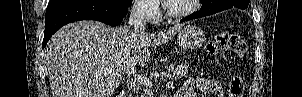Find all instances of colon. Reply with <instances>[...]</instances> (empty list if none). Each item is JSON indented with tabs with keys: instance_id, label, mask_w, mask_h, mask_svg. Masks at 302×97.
I'll return each instance as SVG.
<instances>
[{
	"instance_id": "colon-1",
	"label": "colon",
	"mask_w": 302,
	"mask_h": 97,
	"mask_svg": "<svg viewBox=\"0 0 302 97\" xmlns=\"http://www.w3.org/2000/svg\"><path fill=\"white\" fill-rule=\"evenodd\" d=\"M227 47H232L236 54L242 57L246 50V42L235 31H221L205 45V52L208 56L214 57ZM244 90L243 80L240 77H233L229 84L230 97H242Z\"/></svg>"
}]
</instances>
